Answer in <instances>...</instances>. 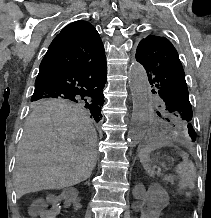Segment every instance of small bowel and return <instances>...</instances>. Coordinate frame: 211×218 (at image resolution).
I'll use <instances>...</instances> for the list:
<instances>
[{
  "instance_id": "obj_1",
  "label": "small bowel",
  "mask_w": 211,
  "mask_h": 218,
  "mask_svg": "<svg viewBox=\"0 0 211 218\" xmlns=\"http://www.w3.org/2000/svg\"><path fill=\"white\" fill-rule=\"evenodd\" d=\"M61 210L57 207H51L41 213V218H60ZM162 209L159 207H149L145 209L141 218H161Z\"/></svg>"
}]
</instances>
